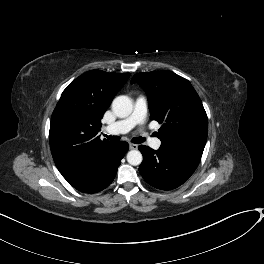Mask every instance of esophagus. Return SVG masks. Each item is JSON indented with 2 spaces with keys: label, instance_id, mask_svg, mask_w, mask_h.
Listing matches in <instances>:
<instances>
[{
  "label": "esophagus",
  "instance_id": "1",
  "mask_svg": "<svg viewBox=\"0 0 264 264\" xmlns=\"http://www.w3.org/2000/svg\"><path fill=\"white\" fill-rule=\"evenodd\" d=\"M129 148H130L131 150H135V149L138 148V145L133 144V143H130V144H129Z\"/></svg>",
  "mask_w": 264,
  "mask_h": 264
}]
</instances>
